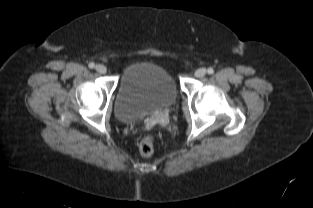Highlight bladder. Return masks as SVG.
Masks as SVG:
<instances>
[{
	"label": "bladder",
	"mask_w": 313,
	"mask_h": 208,
	"mask_svg": "<svg viewBox=\"0 0 313 208\" xmlns=\"http://www.w3.org/2000/svg\"><path fill=\"white\" fill-rule=\"evenodd\" d=\"M177 96V83L167 68L152 62L134 63L119 79L115 114L120 121L131 122L164 110Z\"/></svg>",
	"instance_id": "bladder-1"
}]
</instances>
